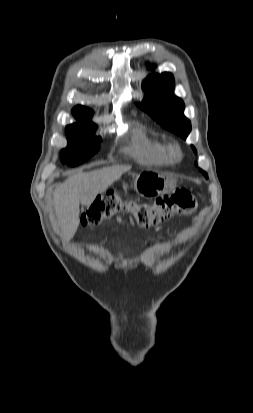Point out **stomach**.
Returning <instances> with one entry per match:
<instances>
[{"mask_svg":"<svg viewBox=\"0 0 253 413\" xmlns=\"http://www.w3.org/2000/svg\"><path fill=\"white\" fill-rule=\"evenodd\" d=\"M133 187L140 196L153 198L173 192L176 180L171 176L145 171L136 175Z\"/></svg>","mask_w":253,"mask_h":413,"instance_id":"1","label":"stomach"}]
</instances>
